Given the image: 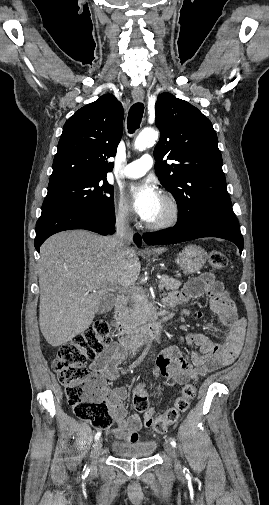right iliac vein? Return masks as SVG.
Here are the masks:
<instances>
[{
  "instance_id": "right-iliac-vein-1",
  "label": "right iliac vein",
  "mask_w": 269,
  "mask_h": 505,
  "mask_svg": "<svg viewBox=\"0 0 269 505\" xmlns=\"http://www.w3.org/2000/svg\"><path fill=\"white\" fill-rule=\"evenodd\" d=\"M101 449H102V439H99L96 444H95V447L92 451V464H91V467H90V470H91V473H94L96 471V468H97V465H96V460L98 458V456L100 455L101 453Z\"/></svg>"
}]
</instances>
